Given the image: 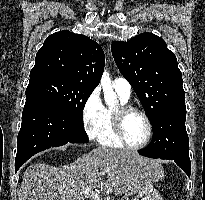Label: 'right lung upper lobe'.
<instances>
[{
  "label": "right lung upper lobe",
  "instance_id": "cb5924a9",
  "mask_svg": "<svg viewBox=\"0 0 205 200\" xmlns=\"http://www.w3.org/2000/svg\"><path fill=\"white\" fill-rule=\"evenodd\" d=\"M105 65L104 52L90 38L68 30L50 35L36 54L30 79L53 75L95 88Z\"/></svg>",
  "mask_w": 205,
  "mask_h": 200
}]
</instances>
